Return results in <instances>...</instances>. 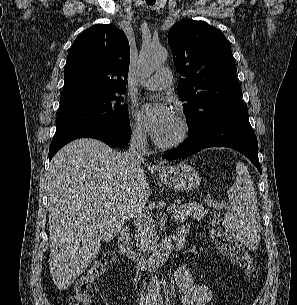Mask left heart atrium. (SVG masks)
Returning <instances> with one entry per match:
<instances>
[{
	"label": "left heart atrium",
	"mask_w": 297,
	"mask_h": 305,
	"mask_svg": "<svg viewBox=\"0 0 297 305\" xmlns=\"http://www.w3.org/2000/svg\"><path fill=\"white\" fill-rule=\"evenodd\" d=\"M142 114L146 127L157 139L168 131L176 118L173 107L164 100L149 101Z\"/></svg>",
	"instance_id": "left-heart-atrium-1"
}]
</instances>
